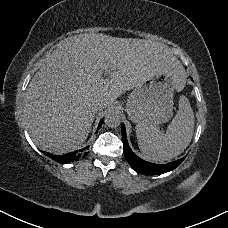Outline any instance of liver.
Segmentation results:
<instances>
[{
    "instance_id": "obj_1",
    "label": "liver",
    "mask_w": 228,
    "mask_h": 228,
    "mask_svg": "<svg viewBox=\"0 0 228 228\" xmlns=\"http://www.w3.org/2000/svg\"><path fill=\"white\" fill-rule=\"evenodd\" d=\"M158 73L173 74L176 89L184 88L185 69L162 43L102 33L65 39L35 73L25 93L23 113L32 141L54 154L78 149L94 121V100L108 107L124 91Z\"/></svg>"
}]
</instances>
